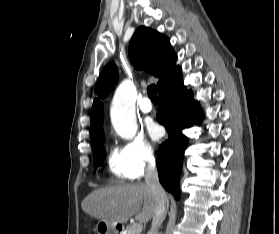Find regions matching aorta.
<instances>
[{"instance_id":"1","label":"aorta","mask_w":279,"mask_h":234,"mask_svg":"<svg viewBox=\"0 0 279 234\" xmlns=\"http://www.w3.org/2000/svg\"><path fill=\"white\" fill-rule=\"evenodd\" d=\"M136 97L135 85L126 79L116 89L112 100L110 110L112 126L118 135L126 139L133 138L138 128L135 114Z\"/></svg>"}]
</instances>
